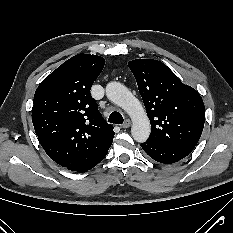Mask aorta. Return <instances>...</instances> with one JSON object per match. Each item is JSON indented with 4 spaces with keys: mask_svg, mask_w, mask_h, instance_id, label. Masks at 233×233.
I'll use <instances>...</instances> for the list:
<instances>
[{
    "mask_svg": "<svg viewBox=\"0 0 233 233\" xmlns=\"http://www.w3.org/2000/svg\"><path fill=\"white\" fill-rule=\"evenodd\" d=\"M106 95L114 104L120 106L132 119L131 134L135 141L145 142L151 131L150 121L140 101L127 87L119 82H110L106 86Z\"/></svg>",
    "mask_w": 233,
    "mask_h": 233,
    "instance_id": "obj_1",
    "label": "aorta"
}]
</instances>
